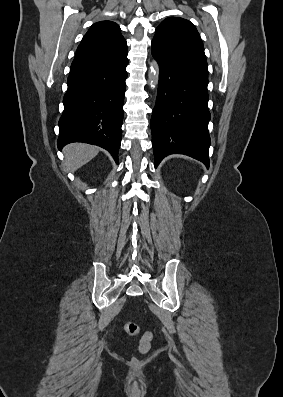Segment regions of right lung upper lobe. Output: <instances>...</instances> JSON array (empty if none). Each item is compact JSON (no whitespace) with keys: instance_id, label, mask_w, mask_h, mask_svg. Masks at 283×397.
I'll return each instance as SVG.
<instances>
[{"instance_id":"obj_1","label":"right lung upper lobe","mask_w":283,"mask_h":397,"mask_svg":"<svg viewBox=\"0 0 283 397\" xmlns=\"http://www.w3.org/2000/svg\"><path fill=\"white\" fill-rule=\"evenodd\" d=\"M127 59L126 40L118 24L101 21L93 24L77 48L70 74L108 66Z\"/></svg>"}]
</instances>
